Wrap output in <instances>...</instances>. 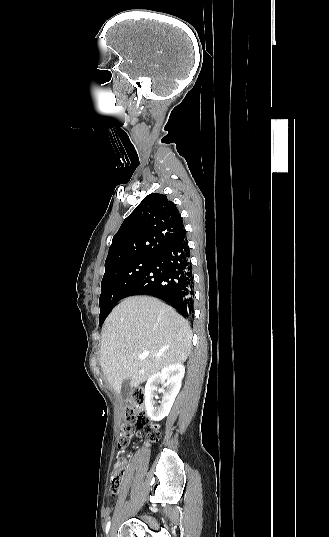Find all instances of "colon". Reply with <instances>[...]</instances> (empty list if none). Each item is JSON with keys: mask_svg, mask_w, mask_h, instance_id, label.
Returning a JSON list of instances; mask_svg holds the SVG:
<instances>
[{"mask_svg": "<svg viewBox=\"0 0 329 537\" xmlns=\"http://www.w3.org/2000/svg\"><path fill=\"white\" fill-rule=\"evenodd\" d=\"M146 395L142 388L133 390L126 398L127 410L121 426L117 446L124 452L130 445L131 439L137 434H144L149 442L159 439L158 426L152 424L145 412ZM124 477V469L121 461H118L110 482V494L115 495L121 488Z\"/></svg>", "mask_w": 329, "mask_h": 537, "instance_id": "1", "label": "colon"}]
</instances>
